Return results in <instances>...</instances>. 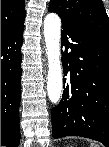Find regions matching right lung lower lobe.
Instances as JSON below:
<instances>
[{
  "instance_id": "1",
  "label": "right lung lower lobe",
  "mask_w": 109,
  "mask_h": 147,
  "mask_svg": "<svg viewBox=\"0 0 109 147\" xmlns=\"http://www.w3.org/2000/svg\"><path fill=\"white\" fill-rule=\"evenodd\" d=\"M24 22L1 34V145L20 143L21 46Z\"/></svg>"
}]
</instances>
